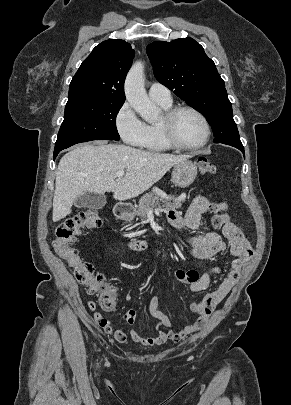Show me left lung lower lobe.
<instances>
[{
	"label": "left lung lower lobe",
	"mask_w": 291,
	"mask_h": 405,
	"mask_svg": "<svg viewBox=\"0 0 291 405\" xmlns=\"http://www.w3.org/2000/svg\"><path fill=\"white\" fill-rule=\"evenodd\" d=\"M233 147H236V148L239 149L242 153H244L243 145H233Z\"/></svg>",
	"instance_id": "1"
}]
</instances>
